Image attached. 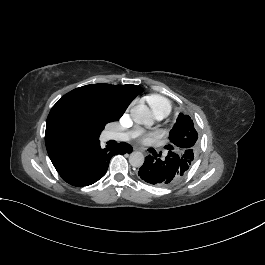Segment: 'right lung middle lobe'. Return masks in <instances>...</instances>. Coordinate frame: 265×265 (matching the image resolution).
<instances>
[{
	"instance_id": "1",
	"label": "right lung middle lobe",
	"mask_w": 265,
	"mask_h": 265,
	"mask_svg": "<svg viewBox=\"0 0 265 265\" xmlns=\"http://www.w3.org/2000/svg\"><path fill=\"white\" fill-rule=\"evenodd\" d=\"M125 110L110 100L75 98L68 100L63 107V117L71 124H78L86 118L104 129L105 125L117 121Z\"/></svg>"
}]
</instances>
